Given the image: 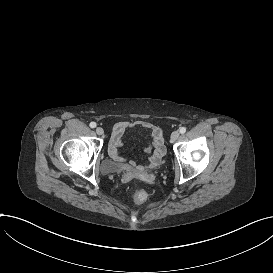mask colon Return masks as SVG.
<instances>
[{
	"label": "colon",
	"mask_w": 273,
	"mask_h": 273,
	"mask_svg": "<svg viewBox=\"0 0 273 273\" xmlns=\"http://www.w3.org/2000/svg\"><path fill=\"white\" fill-rule=\"evenodd\" d=\"M127 197L138 204H145L149 200V194L143 188L132 187L127 192Z\"/></svg>",
	"instance_id": "5ec220e1"
}]
</instances>
